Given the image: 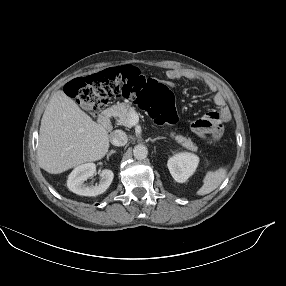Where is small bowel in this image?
Returning <instances> with one entry per match:
<instances>
[{
	"label": "small bowel",
	"instance_id": "small-bowel-1",
	"mask_svg": "<svg viewBox=\"0 0 286 286\" xmlns=\"http://www.w3.org/2000/svg\"><path fill=\"white\" fill-rule=\"evenodd\" d=\"M166 77L170 81H176L180 79L200 81L203 83L212 93H213V102L217 106V110L213 111L212 114H219L222 121L226 122L230 119V112L226 105L223 95L217 91V88L206 79L200 77L197 73L188 69H169L166 72ZM200 137L212 141L213 137L208 135H199Z\"/></svg>",
	"mask_w": 286,
	"mask_h": 286
}]
</instances>
